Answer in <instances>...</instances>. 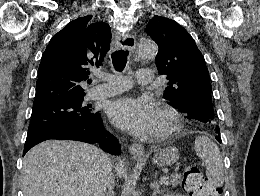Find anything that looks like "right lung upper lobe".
<instances>
[{
	"label": "right lung upper lobe",
	"instance_id": "right-lung-upper-lobe-1",
	"mask_svg": "<svg viewBox=\"0 0 260 196\" xmlns=\"http://www.w3.org/2000/svg\"><path fill=\"white\" fill-rule=\"evenodd\" d=\"M91 19L77 18L52 37L39 65L33 105L85 94L80 83L102 65L111 40L110 26Z\"/></svg>",
	"mask_w": 260,
	"mask_h": 196
}]
</instances>
